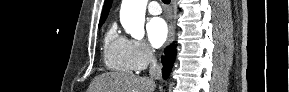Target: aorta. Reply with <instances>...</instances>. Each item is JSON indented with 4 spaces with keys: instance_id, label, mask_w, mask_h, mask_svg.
Instances as JSON below:
<instances>
[{
    "instance_id": "1",
    "label": "aorta",
    "mask_w": 289,
    "mask_h": 92,
    "mask_svg": "<svg viewBox=\"0 0 289 92\" xmlns=\"http://www.w3.org/2000/svg\"><path fill=\"white\" fill-rule=\"evenodd\" d=\"M148 0H122L120 21L125 31L135 39L144 37L145 12Z\"/></svg>"
}]
</instances>
